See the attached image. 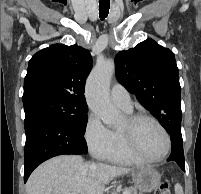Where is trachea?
<instances>
[{
	"label": "trachea",
	"instance_id": "obj_1",
	"mask_svg": "<svg viewBox=\"0 0 201 194\" xmlns=\"http://www.w3.org/2000/svg\"><path fill=\"white\" fill-rule=\"evenodd\" d=\"M110 2H99V17L105 19L109 13Z\"/></svg>",
	"mask_w": 201,
	"mask_h": 194
}]
</instances>
